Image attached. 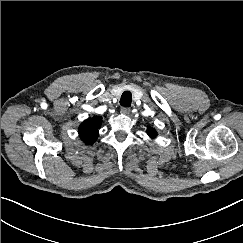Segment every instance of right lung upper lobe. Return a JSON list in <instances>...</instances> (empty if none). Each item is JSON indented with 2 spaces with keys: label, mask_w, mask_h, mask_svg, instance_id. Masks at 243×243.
Returning a JSON list of instances; mask_svg holds the SVG:
<instances>
[{
  "label": "right lung upper lobe",
  "mask_w": 243,
  "mask_h": 243,
  "mask_svg": "<svg viewBox=\"0 0 243 243\" xmlns=\"http://www.w3.org/2000/svg\"><path fill=\"white\" fill-rule=\"evenodd\" d=\"M102 119L101 117H93L85 120L79 126V136L81 140L87 145H92L98 137V130L101 126Z\"/></svg>",
  "instance_id": "right-lung-upper-lobe-1"
}]
</instances>
